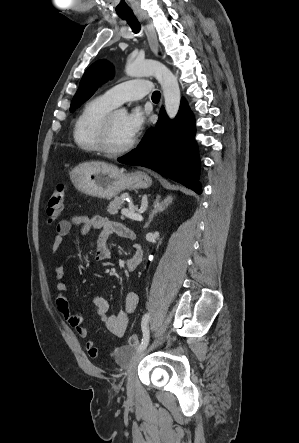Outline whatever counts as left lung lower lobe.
I'll use <instances>...</instances> for the list:
<instances>
[{"label": "left lung lower lobe", "instance_id": "obj_1", "mask_svg": "<svg viewBox=\"0 0 299 443\" xmlns=\"http://www.w3.org/2000/svg\"><path fill=\"white\" fill-rule=\"evenodd\" d=\"M194 136V117L185 100H182L174 120H169L162 108L155 128H150L139 145L118 158V161L150 168L201 194Z\"/></svg>", "mask_w": 299, "mask_h": 443}]
</instances>
